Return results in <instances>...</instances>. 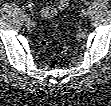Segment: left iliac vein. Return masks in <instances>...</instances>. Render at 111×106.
<instances>
[{
	"instance_id": "obj_1",
	"label": "left iliac vein",
	"mask_w": 111,
	"mask_h": 106,
	"mask_svg": "<svg viewBox=\"0 0 111 106\" xmlns=\"http://www.w3.org/2000/svg\"><path fill=\"white\" fill-rule=\"evenodd\" d=\"M87 14H88V11H87L86 9H83V10L81 11V16H82V17H86Z\"/></svg>"
}]
</instances>
